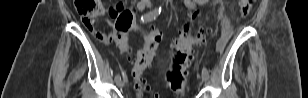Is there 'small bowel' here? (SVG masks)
<instances>
[{
	"mask_svg": "<svg viewBox=\"0 0 308 98\" xmlns=\"http://www.w3.org/2000/svg\"><path fill=\"white\" fill-rule=\"evenodd\" d=\"M206 1L205 0H184L183 3L185 5L186 8L190 9V10H194L196 9V7L199 5V4H203L205 3ZM152 5V3L149 1V0H141V1H138L135 5V8L138 10V11H142L144 10L146 7H150ZM117 24V23H115ZM131 24H135V22H132ZM92 33H95L96 31L93 30H90ZM227 41H228V30L227 29H223L222 31V35L221 37L219 38L218 42H217V50L219 52H222L225 47H226V44H227ZM141 53V52H140Z\"/></svg>",
	"mask_w": 308,
	"mask_h": 98,
	"instance_id": "1",
	"label": "small bowel"
}]
</instances>
